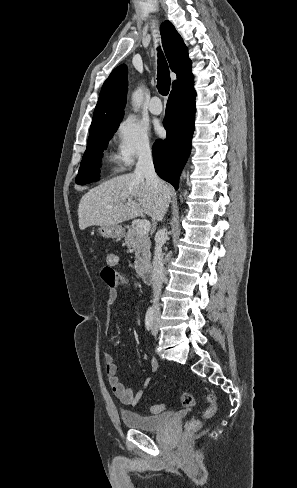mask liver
I'll use <instances>...</instances> for the list:
<instances>
[{"label": "liver", "instance_id": "1", "mask_svg": "<svg viewBox=\"0 0 297 488\" xmlns=\"http://www.w3.org/2000/svg\"><path fill=\"white\" fill-rule=\"evenodd\" d=\"M171 194L170 186L164 184V188L158 190L144 176L135 173L117 176L82 196L78 207L79 228L117 225L143 213L160 221Z\"/></svg>", "mask_w": 297, "mask_h": 488}]
</instances>
